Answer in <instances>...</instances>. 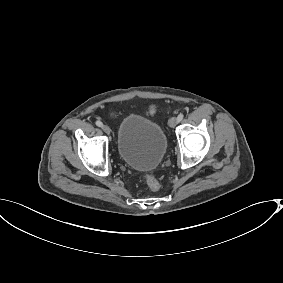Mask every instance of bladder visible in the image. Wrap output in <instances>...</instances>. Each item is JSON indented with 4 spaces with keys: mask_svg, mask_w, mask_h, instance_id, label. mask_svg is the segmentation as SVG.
<instances>
[{
    "mask_svg": "<svg viewBox=\"0 0 283 283\" xmlns=\"http://www.w3.org/2000/svg\"><path fill=\"white\" fill-rule=\"evenodd\" d=\"M168 143V135L151 118L131 113L119 124L116 149L129 167L144 171L156 168L166 154Z\"/></svg>",
    "mask_w": 283,
    "mask_h": 283,
    "instance_id": "31cf9c89",
    "label": "bladder"
}]
</instances>
